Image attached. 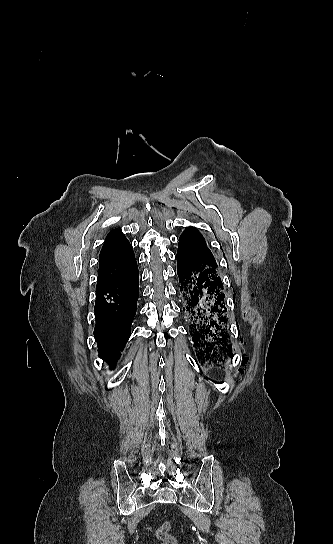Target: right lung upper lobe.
<instances>
[{
    "label": "right lung upper lobe",
    "instance_id": "cb5924a9",
    "mask_svg": "<svg viewBox=\"0 0 333 544\" xmlns=\"http://www.w3.org/2000/svg\"><path fill=\"white\" fill-rule=\"evenodd\" d=\"M134 262H136L135 255L129 241L120 229L112 230L107 235L100 252L97 286L116 279Z\"/></svg>",
    "mask_w": 333,
    "mask_h": 544
}]
</instances>
